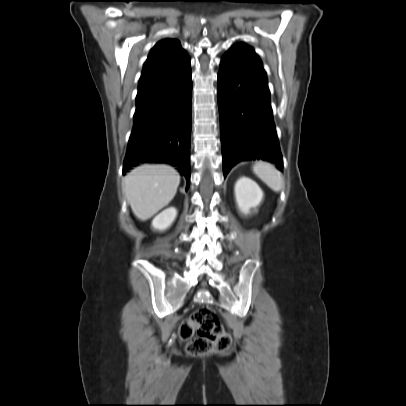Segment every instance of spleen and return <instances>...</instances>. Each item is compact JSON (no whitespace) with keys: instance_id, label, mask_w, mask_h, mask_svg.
I'll use <instances>...</instances> for the list:
<instances>
[{"instance_id":"obj_1","label":"spleen","mask_w":406,"mask_h":406,"mask_svg":"<svg viewBox=\"0 0 406 406\" xmlns=\"http://www.w3.org/2000/svg\"><path fill=\"white\" fill-rule=\"evenodd\" d=\"M253 172L275 192H279L282 189L283 179L279 171L272 164L257 162L253 166Z\"/></svg>"}]
</instances>
